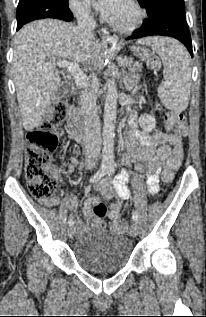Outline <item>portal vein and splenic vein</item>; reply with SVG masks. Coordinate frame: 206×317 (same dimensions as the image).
<instances>
[{"label":"portal vein and splenic vein","instance_id":"18ae733b","mask_svg":"<svg viewBox=\"0 0 206 317\" xmlns=\"http://www.w3.org/2000/svg\"><path fill=\"white\" fill-rule=\"evenodd\" d=\"M128 63L127 60H122L119 64L121 66H125ZM56 65L60 68H67L69 72L73 75L75 82L77 85L84 87L88 86V80L83 75L81 69L79 68L78 64L73 61H66V60H58Z\"/></svg>","mask_w":206,"mask_h":317}]
</instances>
